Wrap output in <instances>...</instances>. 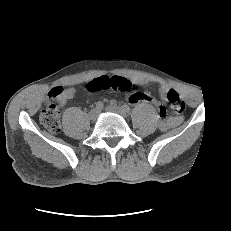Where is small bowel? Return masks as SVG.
<instances>
[{"mask_svg": "<svg viewBox=\"0 0 231 231\" xmlns=\"http://www.w3.org/2000/svg\"><path fill=\"white\" fill-rule=\"evenodd\" d=\"M102 77H107V76H102ZM102 77H99V78H102ZM57 88H59V87H57ZM59 89L61 90V94L58 96L57 101L60 105H64L69 99H72L75 96L76 92L73 88H68V89L59 88ZM166 91H167V86L162 85L160 88V92H161L162 97H165ZM128 100L130 103H133V104H136L139 102H146V103H153V104L157 103L156 99L153 96H151L148 93L141 92V91H135V92L131 93L128 96ZM176 123H177V120L170 119V120H168V122L162 124L161 127L165 129V128H167L171 125H174Z\"/></svg>", "mask_w": 231, "mask_h": 231, "instance_id": "c3829d8e", "label": "small bowel"}]
</instances>
